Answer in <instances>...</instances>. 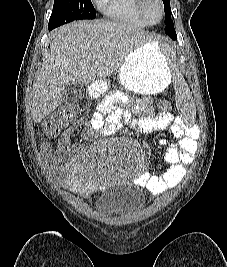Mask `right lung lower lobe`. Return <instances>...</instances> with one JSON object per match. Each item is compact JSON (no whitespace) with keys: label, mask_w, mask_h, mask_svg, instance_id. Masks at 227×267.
Listing matches in <instances>:
<instances>
[{"label":"right lung lower lobe","mask_w":227,"mask_h":267,"mask_svg":"<svg viewBox=\"0 0 227 267\" xmlns=\"http://www.w3.org/2000/svg\"><path fill=\"white\" fill-rule=\"evenodd\" d=\"M52 29H54V28H52V27H49V30H52Z\"/></svg>","instance_id":"right-lung-lower-lobe-1"}]
</instances>
